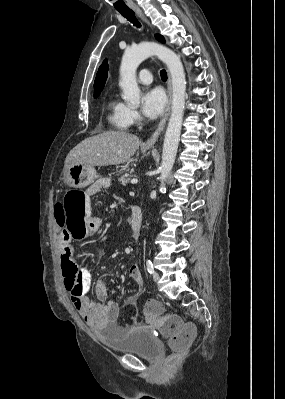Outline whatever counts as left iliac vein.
Segmentation results:
<instances>
[{
    "instance_id": "left-iliac-vein-1",
    "label": "left iliac vein",
    "mask_w": 285,
    "mask_h": 399,
    "mask_svg": "<svg viewBox=\"0 0 285 399\" xmlns=\"http://www.w3.org/2000/svg\"><path fill=\"white\" fill-rule=\"evenodd\" d=\"M152 277H153V280H154L155 282H158L159 279H160V275H159V273H158L157 271H154V272H153Z\"/></svg>"
}]
</instances>
